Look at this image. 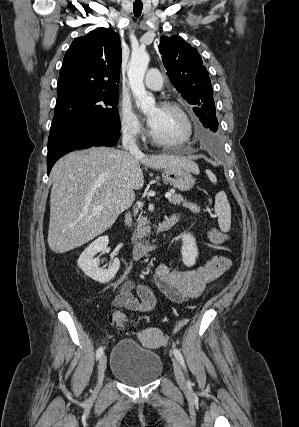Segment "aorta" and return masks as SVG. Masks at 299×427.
Returning <instances> with one entry per match:
<instances>
[{
  "label": "aorta",
  "instance_id": "aorta-1",
  "mask_svg": "<svg viewBox=\"0 0 299 427\" xmlns=\"http://www.w3.org/2000/svg\"><path fill=\"white\" fill-rule=\"evenodd\" d=\"M149 60L150 57L146 51L132 52L127 72L136 105L143 112H149L155 108V99L151 93L146 91L144 86V76Z\"/></svg>",
  "mask_w": 299,
  "mask_h": 427
}]
</instances>
